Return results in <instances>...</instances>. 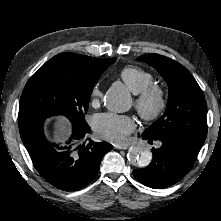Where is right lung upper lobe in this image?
I'll use <instances>...</instances> for the list:
<instances>
[{
    "instance_id": "obj_1",
    "label": "right lung upper lobe",
    "mask_w": 221,
    "mask_h": 221,
    "mask_svg": "<svg viewBox=\"0 0 221 221\" xmlns=\"http://www.w3.org/2000/svg\"><path fill=\"white\" fill-rule=\"evenodd\" d=\"M101 60L102 58L61 53L51 58L44 65L53 67L60 74L77 78H86L95 73Z\"/></svg>"
}]
</instances>
